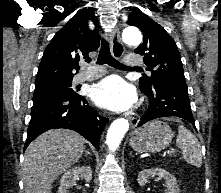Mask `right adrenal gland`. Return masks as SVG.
Returning a JSON list of instances; mask_svg holds the SVG:
<instances>
[{"instance_id": "obj_1", "label": "right adrenal gland", "mask_w": 221, "mask_h": 193, "mask_svg": "<svg viewBox=\"0 0 221 193\" xmlns=\"http://www.w3.org/2000/svg\"><path fill=\"white\" fill-rule=\"evenodd\" d=\"M84 153H85L84 157L91 156V153L87 151L85 147H84Z\"/></svg>"}]
</instances>
